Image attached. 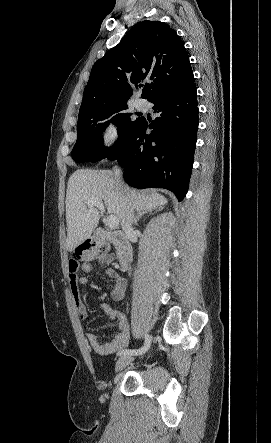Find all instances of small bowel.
<instances>
[{"label": "small bowel", "instance_id": "small-bowel-1", "mask_svg": "<svg viewBox=\"0 0 271 443\" xmlns=\"http://www.w3.org/2000/svg\"><path fill=\"white\" fill-rule=\"evenodd\" d=\"M94 269L91 263H74L69 262V283L72 296L74 298L75 307L81 319H86L88 312L84 302L82 301L80 286L86 285L88 279L86 276H80L78 273H90ZM107 276L113 281L111 290V298L117 302L124 299L126 293L125 279L111 268H106ZM102 311L110 321H117V329L114 338L111 341H101L94 334L88 333L87 338L91 348L100 355H110L125 348L130 341L129 324L123 314L111 307L107 303L101 305Z\"/></svg>", "mask_w": 271, "mask_h": 443}]
</instances>
